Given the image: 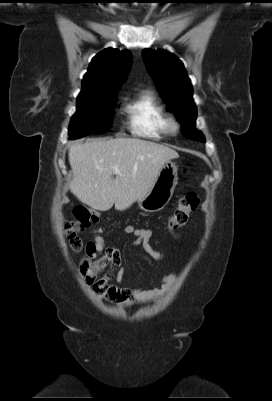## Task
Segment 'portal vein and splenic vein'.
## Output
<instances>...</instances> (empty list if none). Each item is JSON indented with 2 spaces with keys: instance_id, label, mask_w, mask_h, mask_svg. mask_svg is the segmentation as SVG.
<instances>
[{
  "instance_id": "18ae733b",
  "label": "portal vein and splenic vein",
  "mask_w": 272,
  "mask_h": 401,
  "mask_svg": "<svg viewBox=\"0 0 272 401\" xmlns=\"http://www.w3.org/2000/svg\"><path fill=\"white\" fill-rule=\"evenodd\" d=\"M113 171H114V173H120V170L117 166L113 167Z\"/></svg>"
}]
</instances>
